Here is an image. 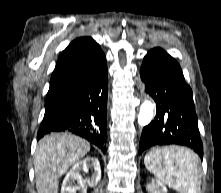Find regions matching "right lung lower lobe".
<instances>
[{
	"instance_id": "98d812e1",
	"label": "right lung lower lobe",
	"mask_w": 221,
	"mask_h": 193,
	"mask_svg": "<svg viewBox=\"0 0 221 193\" xmlns=\"http://www.w3.org/2000/svg\"><path fill=\"white\" fill-rule=\"evenodd\" d=\"M108 71L106 59L65 100V109L43 119L37 139L52 132H71L106 152Z\"/></svg>"
}]
</instances>
